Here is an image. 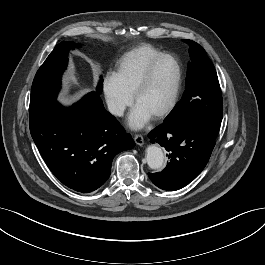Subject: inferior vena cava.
Returning <instances> with one entry per match:
<instances>
[{
    "label": "inferior vena cava",
    "mask_w": 265,
    "mask_h": 265,
    "mask_svg": "<svg viewBox=\"0 0 265 265\" xmlns=\"http://www.w3.org/2000/svg\"><path fill=\"white\" fill-rule=\"evenodd\" d=\"M107 106H108L109 112L113 115L122 116L124 113V107L113 101H108Z\"/></svg>",
    "instance_id": "inferior-vena-cava-1"
}]
</instances>
